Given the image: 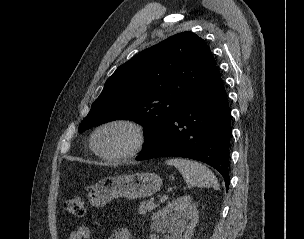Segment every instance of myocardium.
Returning a JSON list of instances; mask_svg holds the SVG:
<instances>
[{
  "label": "myocardium",
  "mask_w": 304,
  "mask_h": 239,
  "mask_svg": "<svg viewBox=\"0 0 304 239\" xmlns=\"http://www.w3.org/2000/svg\"><path fill=\"white\" fill-rule=\"evenodd\" d=\"M112 126H123L130 129L133 133V143L132 145L125 151L116 154H107L100 150L97 145V137L99 133L109 127ZM146 142V131L144 126L131 118L120 117L110 119L100 124L92 133L90 145L95 154L101 157L104 160L120 162L125 161L130 158L136 156L144 147Z\"/></svg>",
  "instance_id": "myocardium-1"
}]
</instances>
